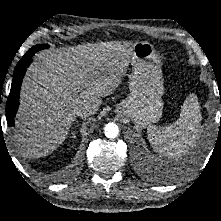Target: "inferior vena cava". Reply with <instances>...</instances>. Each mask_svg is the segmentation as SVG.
I'll use <instances>...</instances> for the list:
<instances>
[{
	"label": "inferior vena cava",
	"instance_id": "inferior-vena-cava-1",
	"mask_svg": "<svg viewBox=\"0 0 221 221\" xmlns=\"http://www.w3.org/2000/svg\"><path fill=\"white\" fill-rule=\"evenodd\" d=\"M96 111L97 108L94 105H91L90 103H84L77 107L76 115L80 118H86L88 116L95 114Z\"/></svg>",
	"mask_w": 221,
	"mask_h": 221
}]
</instances>
